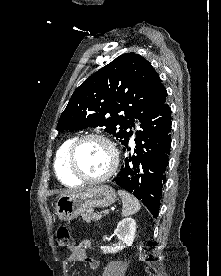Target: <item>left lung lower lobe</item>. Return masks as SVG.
<instances>
[{
    "mask_svg": "<svg viewBox=\"0 0 221 276\" xmlns=\"http://www.w3.org/2000/svg\"><path fill=\"white\" fill-rule=\"evenodd\" d=\"M171 124V109L165 101L141 123V130L136 133L134 154L126 158L112 180L141 200L154 218L158 216L162 188L166 182ZM126 147L129 151L130 147Z\"/></svg>",
    "mask_w": 221,
    "mask_h": 276,
    "instance_id": "left-lung-lower-lobe-1",
    "label": "left lung lower lobe"
}]
</instances>
